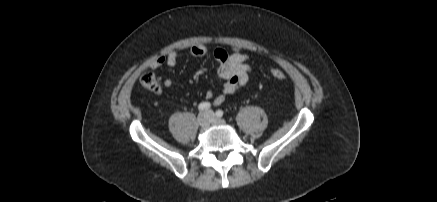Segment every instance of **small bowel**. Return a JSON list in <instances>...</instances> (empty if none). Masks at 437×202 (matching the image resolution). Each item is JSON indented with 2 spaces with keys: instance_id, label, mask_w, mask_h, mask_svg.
<instances>
[{
  "instance_id": "obj_1",
  "label": "small bowel",
  "mask_w": 437,
  "mask_h": 202,
  "mask_svg": "<svg viewBox=\"0 0 437 202\" xmlns=\"http://www.w3.org/2000/svg\"><path fill=\"white\" fill-rule=\"evenodd\" d=\"M207 52L204 45H195L190 49L192 57H203ZM214 58L218 62L217 77L224 81L221 89V94L214 98L212 90H208L205 94L207 99H213L214 105H220L224 102L227 95L235 93L237 90L246 85L249 79L251 68L248 64V56L242 53L239 46L232 47V52L218 48L213 53ZM178 61V53L176 51L169 52L166 56H160L151 63L152 68H159L163 65L175 67ZM166 87L172 85V81L167 79L164 82Z\"/></svg>"
}]
</instances>
